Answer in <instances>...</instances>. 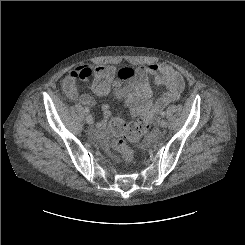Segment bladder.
Instances as JSON below:
<instances>
[{"mask_svg":"<svg viewBox=\"0 0 245 245\" xmlns=\"http://www.w3.org/2000/svg\"><path fill=\"white\" fill-rule=\"evenodd\" d=\"M123 78H125L123 85L115 91V98L119 102L127 98L128 93H130V75H124Z\"/></svg>","mask_w":245,"mask_h":245,"instance_id":"31cf9c89","label":"bladder"}]
</instances>
